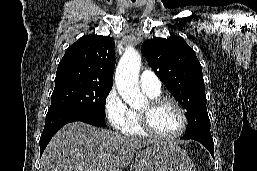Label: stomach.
Wrapping results in <instances>:
<instances>
[{"instance_id":"1","label":"stomach","mask_w":257,"mask_h":171,"mask_svg":"<svg viewBox=\"0 0 257 171\" xmlns=\"http://www.w3.org/2000/svg\"><path fill=\"white\" fill-rule=\"evenodd\" d=\"M135 171H196L193 161L175 142H154L136 153Z\"/></svg>"}]
</instances>
